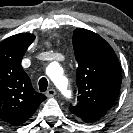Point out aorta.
I'll list each match as a JSON object with an SVG mask.
<instances>
[{"label": "aorta", "instance_id": "762f6f07", "mask_svg": "<svg viewBox=\"0 0 133 133\" xmlns=\"http://www.w3.org/2000/svg\"><path fill=\"white\" fill-rule=\"evenodd\" d=\"M59 71H60V67L58 65L57 66H49L47 68V74H48V76L52 79V81L55 83V85L58 87V89H60V91L66 97H70L71 96V92L68 89L67 85H65L63 83V77L59 73Z\"/></svg>", "mask_w": 133, "mask_h": 133}]
</instances>
